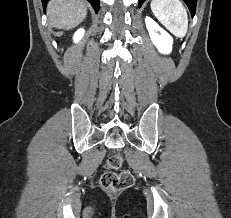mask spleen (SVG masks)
<instances>
[{
	"mask_svg": "<svg viewBox=\"0 0 231 218\" xmlns=\"http://www.w3.org/2000/svg\"><path fill=\"white\" fill-rule=\"evenodd\" d=\"M151 10L156 18L176 37L182 38L188 30L186 9L179 0H152Z\"/></svg>",
	"mask_w": 231,
	"mask_h": 218,
	"instance_id": "spleen-1",
	"label": "spleen"
}]
</instances>
